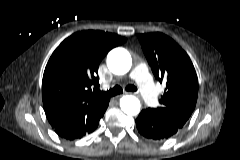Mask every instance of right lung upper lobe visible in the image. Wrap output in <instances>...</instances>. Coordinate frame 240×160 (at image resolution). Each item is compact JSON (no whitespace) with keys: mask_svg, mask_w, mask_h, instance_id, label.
<instances>
[{"mask_svg":"<svg viewBox=\"0 0 240 160\" xmlns=\"http://www.w3.org/2000/svg\"><path fill=\"white\" fill-rule=\"evenodd\" d=\"M125 41L116 34L87 30L74 33L56 48L42 81L43 106L53 128L109 99L95 92L99 86L96 74L105 55Z\"/></svg>","mask_w":240,"mask_h":160,"instance_id":"right-lung-upper-lobe-1","label":"right lung upper lobe"}]
</instances>
